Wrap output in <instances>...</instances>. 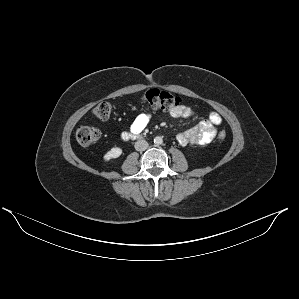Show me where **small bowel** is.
Instances as JSON below:
<instances>
[{
	"instance_id": "obj_1",
	"label": "small bowel",
	"mask_w": 299,
	"mask_h": 299,
	"mask_svg": "<svg viewBox=\"0 0 299 299\" xmlns=\"http://www.w3.org/2000/svg\"><path fill=\"white\" fill-rule=\"evenodd\" d=\"M171 115L177 118H188L196 115L194 110L181 105L171 111ZM151 115L148 113L139 114L131 123L129 132L138 135L149 124ZM222 123V118L218 113L211 112L208 117L198 122L194 127L183 131L177 135V141L182 146H204L212 142L217 133V126Z\"/></svg>"
}]
</instances>
